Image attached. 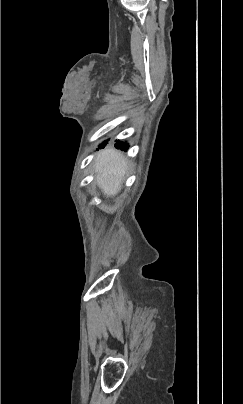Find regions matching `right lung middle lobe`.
Segmentation results:
<instances>
[{
    "instance_id": "right-lung-middle-lobe-1",
    "label": "right lung middle lobe",
    "mask_w": 243,
    "mask_h": 404,
    "mask_svg": "<svg viewBox=\"0 0 243 404\" xmlns=\"http://www.w3.org/2000/svg\"><path fill=\"white\" fill-rule=\"evenodd\" d=\"M106 141L100 145V148H103L106 145Z\"/></svg>"
}]
</instances>
